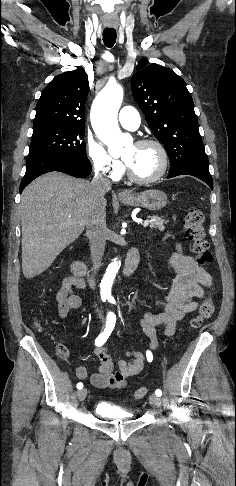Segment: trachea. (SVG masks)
<instances>
[{"label": "trachea", "instance_id": "obj_1", "mask_svg": "<svg viewBox=\"0 0 236 486\" xmlns=\"http://www.w3.org/2000/svg\"><path fill=\"white\" fill-rule=\"evenodd\" d=\"M116 30L112 28H105L103 31V42L105 46L112 47L116 42Z\"/></svg>", "mask_w": 236, "mask_h": 486}]
</instances>
